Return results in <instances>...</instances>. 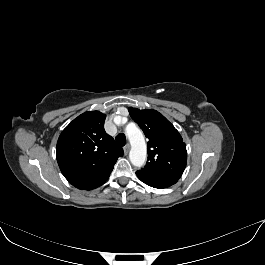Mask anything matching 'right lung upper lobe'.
<instances>
[{"label":"right lung upper lobe","mask_w":265,"mask_h":265,"mask_svg":"<svg viewBox=\"0 0 265 265\" xmlns=\"http://www.w3.org/2000/svg\"><path fill=\"white\" fill-rule=\"evenodd\" d=\"M106 115L85 112L60 134L56 157L60 170L78 189L92 190L110 176L123 149L104 130Z\"/></svg>","instance_id":"1"}]
</instances>
